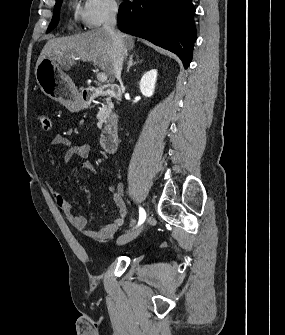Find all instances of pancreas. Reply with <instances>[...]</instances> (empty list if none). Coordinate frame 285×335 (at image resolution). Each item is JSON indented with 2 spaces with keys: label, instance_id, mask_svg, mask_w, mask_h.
Returning a JSON list of instances; mask_svg holds the SVG:
<instances>
[{
  "label": "pancreas",
  "instance_id": "cf45deb5",
  "mask_svg": "<svg viewBox=\"0 0 285 335\" xmlns=\"http://www.w3.org/2000/svg\"><path fill=\"white\" fill-rule=\"evenodd\" d=\"M97 114V121L100 125H103L105 123V120L109 119L110 116H112V114L108 112V106L106 105H99Z\"/></svg>",
  "mask_w": 285,
  "mask_h": 335
}]
</instances>
